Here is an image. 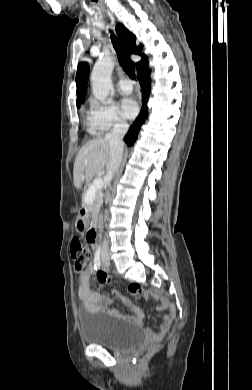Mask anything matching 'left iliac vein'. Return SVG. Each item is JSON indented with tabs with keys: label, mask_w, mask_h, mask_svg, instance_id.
<instances>
[{
	"label": "left iliac vein",
	"mask_w": 252,
	"mask_h": 390,
	"mask_svg": "<svg viewBox=\"0 0 252 390\" xmlns=\"http://www.w3.org/2000/svg\"><path fill=\"white\" fill-rule=\"evenodd\" d=\"M103 264L105 265V266H109L110 265V261H109V258H103Z\"/></svg>",
	"instance_id": "1"
}]
</instances>
